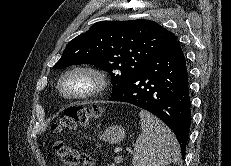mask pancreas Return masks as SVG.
<instances>
[{
  "mask_svg": "<svg viewBox=\"0 0 231 166\" xmlns=\"http://www.w3.org/2000/svg\"><path fill=\"white\" fill-rule=\"evenodd\" d=\"M121 161H122V160H121ZM121 161H116V160H115V163L108 164V166H116V164L121 163Z\"/></svg>",
  "mask_w": 231,
  "mask_h": 166,
  "instance_id": "cf45deb5",
  "label": "pancreas"
}]
</instances>
